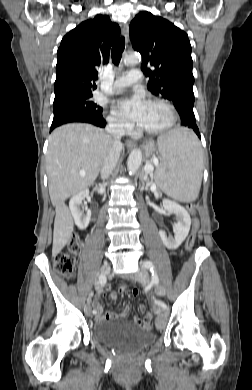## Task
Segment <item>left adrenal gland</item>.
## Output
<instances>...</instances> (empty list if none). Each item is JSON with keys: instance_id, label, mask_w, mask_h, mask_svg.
Returning <instances> with one entry per match:
<instances>
[{"instance_id": "1", "label": "left adrenal gland", "mask_w": 252, "mask_h": 390, "mask_svg": "<svg viewBox=\"0 0 252 390\" xmlns=\"http://www.w3.org/2000/svg\"><path fill=\"white\" fill-rule=\"evenodd\" d=\"M142 182H143V183L146 182V188L149 187V185L151 184V183L149 182V180H147L146 177H144V178L142 179Z\"/></svg>"}]
</instances>
